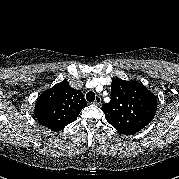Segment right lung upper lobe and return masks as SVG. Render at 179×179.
<instances>
[{
	"label": "right lung upper lobe",
	"mask_w": 179,
	"mask_h": 179,
	"mask_svg": "<svg viewBox=\"0 0 179 179\" xmlns=\"http://www.w3.org/2000/svg\"><path fill=\"white\" fill-rule=\"evenodd\" d=\"M86 106L83 93L71 88L64 80L47 89L37 98L34 114L42 126L60 131L75 121Z\"/></svg>",
	"instance_id": "cb5924a9"
}]
</instances>
